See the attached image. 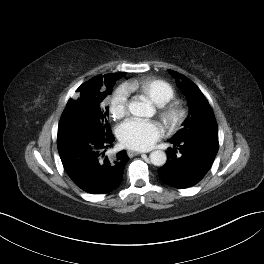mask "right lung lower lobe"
<instances>
[{"label":"right lung lower lobe","instance_id":"1","mask_svg":"<svg viewBox=\"0 0 264 264\" xmlns=\"http://www.w3.org/2000/svg\"><path fill=\"white\" fill-rule=\"evenodd\" d=\"M113 141L112 132L100 134L95 130L57 139L62 164L68 176L83 191L105 194L120 185L128 157L124 150L113 156L106 154Z\"/></svg>","mask_w":264,"mask_h":264}]
</instances>
